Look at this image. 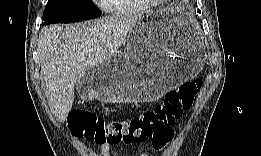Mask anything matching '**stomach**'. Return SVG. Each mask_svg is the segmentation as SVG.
<instances>
[{
	"label": "stomach",
	"instance_id": "obj_1",
	"mask_svg": "<svg viewBox=\"0 0 261 156\" xmlns=\"http://www.w3.org/2000/svg\"><path fill=\"white\" fill-rule=\"evenodd\" d=\"M125 52L88 71L78 84L105 103L152 102L202 69L204 46L183 10L167 8L139 17Z\"/></svg>",
	"mask_w": 261,
	"mask_h": 156
}]
</instances>
